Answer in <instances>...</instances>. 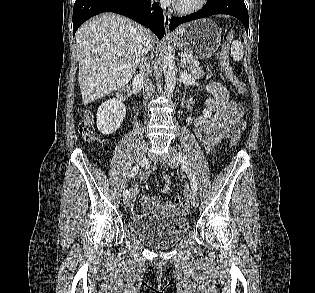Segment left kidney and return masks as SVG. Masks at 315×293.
Wrapping results in <instances>:
<instances>
[{
	"instance_id": "5707ae66",
	"label": "left kidney",
	"mask_w": 315,
	"mask_h": 293,
	"mask_svg": "<svg viewBox=\"0 0 315 293\" xmlns=\"http://www.w3.org/2000/svg\"><path fill=\"white\" fill-rule=\"evenodd\" d=\"M203 115H204V118L211 117V111L207 110V109H204L203 110Z\"/></svg>"
}]
</instances>
